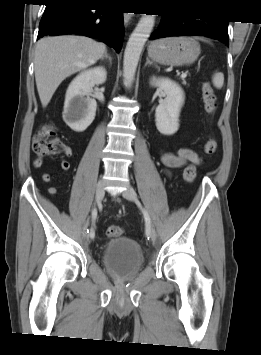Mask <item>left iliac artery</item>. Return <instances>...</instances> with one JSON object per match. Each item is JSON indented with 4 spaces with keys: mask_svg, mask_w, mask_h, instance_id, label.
<instances>
[{
    "mask_svg": "<svg viewBox=\"0 0 261 355\" xmlns=\"http://www.w3.org/2000/svg\"><path fill=\"white\" fill-rule=\"evenodd\" d=\"M143 214H144V218H145V234L147 239H152V227H151V220L149 217V214L147 213V211L145 209H143Z\"/></svg>",
    "mask_w": 261,
    "mask_h": 355,
    "instance_id": "1",
    "label": "left iliac artery"
}]
</instances>
